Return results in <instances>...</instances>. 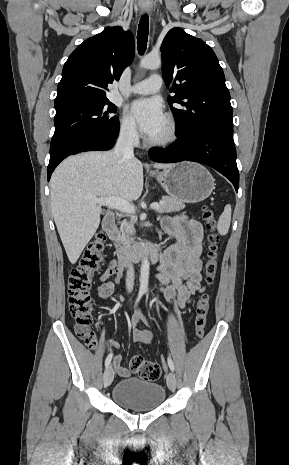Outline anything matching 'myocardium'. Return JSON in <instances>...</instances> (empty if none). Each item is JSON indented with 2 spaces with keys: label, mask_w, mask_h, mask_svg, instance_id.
<instances>
[{
  "label": "myocardium",
  "mask_w": 289,
  "mask_h": 465,
  "mask_svg": "<svg viewBox=\"0 0 289 465\" xmlns=\"http://www.w3.org/2000/svg\"><path fill=\"white\" fill-rule=\"evenodd\" d=\"M177 140V128L174 120L171 117L166 118L164 132L159 138H149L147 143L150 146L166 147L173 144Z\"/></svg>",
  "instance_id": "1"
}]
</instances>
